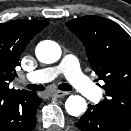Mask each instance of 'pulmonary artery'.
I'll return each instance as SVG.
<instances>
[{
  "instance_id": "1",
  "label": "pulmonary artery",
  "mask_w": 131,
  "mask_h": 131,
  "mask_svg": "<svg viewBox=\"0 0 131 131\" xmlns=\"http://www.w3.org/2000/svg\"><path fill=\"white\" fill-rule=\"evenodd\" d=\"M59 74H64L86 98L95 100L100 96L101 89L82 73L77 58L72 54L65 55L58 66L36 70L28 74L27 78L33 83H45L54 80Z\"/></svg>"
}]
</instances>
